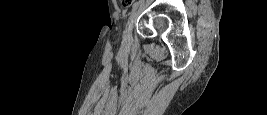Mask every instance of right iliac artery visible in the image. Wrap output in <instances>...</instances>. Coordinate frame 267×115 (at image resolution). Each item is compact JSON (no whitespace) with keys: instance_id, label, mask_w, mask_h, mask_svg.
<instances>
[{"instance_id":"1","label":"right iliac artery","mask_w":267,"mask_h":115,"mask_svg":"<svg viewBox=\"0 0 267 115\" xmlns=\"http://www.w3.org/2000/svg\"><path fill=\"white\" fill-rule=\"evenodd\" d=\"M138 7V2H135L133 7H132V10H131V13H133Z\"/></svg>"}]
</instances>
